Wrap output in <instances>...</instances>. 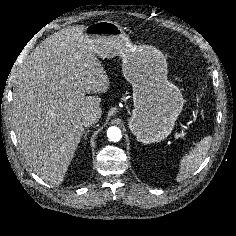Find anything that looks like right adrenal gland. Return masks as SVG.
<instances>
[{
    "mask_svg": "<svg viewBox=\"0 0 236 236\" xmlns=\"http://www.w3.org/2000/svg\"><path fill=\"white\" fill-rule=\"evenodd\" d=\"M88 132H89V130H86V131L84 132V140H86Z\"/></svg>",
    "mask_w": 236,
    "mask_h": 236,
    "instance_id": "2a0ac1e0",
    "label": "right adrenal gland"
}]
</instances>
